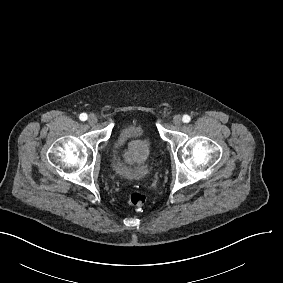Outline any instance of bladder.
Here are the masks:
<instances>
[{
	"label": "bladder",
	"mask_w": 283,
	"mask_h": 283,
	"mask_svg": "<svg viewBox=\"0 0 283 283\" xmlns=\"http://www.w3.org/2000/svg\"><path fill=\"white\" fill-rule=\"evenodd\" d=\"M149 135L148 131L140 124L126 125L113 137L112 143L114 146V161L115 165L110 166V172L114 175L125 177L130 180L137 172L132 165H122L119 156V150L133 139H143ZM158 157H155L156 163ZM152 172H155L154 170Z\"/></svg>",
	"instance_id": "bladder-1"
}]
</instances>
